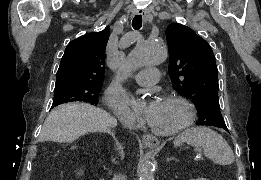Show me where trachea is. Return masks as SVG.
<instances>
[{"mask_svg": "<svg viewBox=\"0 0 261 180\" xmlns=\"http://www.w3.org/2000/svg\"><path fill=\"white\" fill-rule=\"evenodd\" d=\"M142 26V16L141 15H135L132 21V27L135 30H139Z\"/></svg>", "mask_w": 261, "mask_h": 180, "instance_id": "obj_1", "label": "trachea"}]
</instances>
